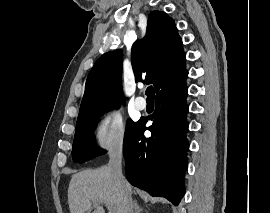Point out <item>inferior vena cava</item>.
<instances>
[{"label":"inferior vena cava","instance_id":"1","mask_svg":"<svg viewBox=\"0 0 270 213\" xmlns=\"http://www.w3.org/2000/svg\"><path fill=\"white\" fill-rule=\"evenodd\" d=\"M122 149L120 147L114 149L111 153H110V160L108 163V168L111 171L112 176L114 177V179L117 180L118 184L126 189V180L123 177L122 174ZM125 211L124 213H133L132 208H133V204H132V199L131 196L127 193V191L125 192Z\"/></svg>","mask_w":270,"mask_h":213}]
</instances>
